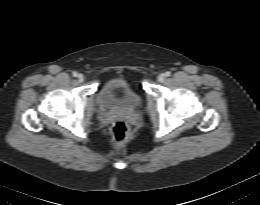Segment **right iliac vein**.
Instances as JSON below:
<instances>
[{
  "instance_id": "right-iliac-vein-1",
  "label": "right iliac vein",
  "mask_w": 260,
  "mask_h": 205,
  "mask_svg": "<svg viewBox=\"0 0 260 205\" xmlns=\"http://www.w3.org/2000/svg\"><path fill=\"white\" fill-rule=\"evenodd\" d=\"M78 80H79L80 82H83V81H84V76H83L82 74H79V75H78Z\"/></svg>"
}]
</instances>
